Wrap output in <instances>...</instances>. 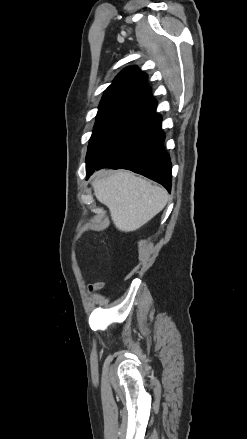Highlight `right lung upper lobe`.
<instances>
[{
  "instance_id": "1",
  "label": "right lung upper lobe",
  "mask_w": 247,
  "mask_h": 439,
  "mask_svg": "<svg viewBox=\"0 0 247 439\" xmlns=\"http://www.w3.org/2000/svg\"><path fill=\"white\" fill-rule=\"evenodd\" d=\"M147 78L136 66L124 69L105 90L100 106L120 104L155 114L157 101L152 97Z\"/></svg>"
}]
</instances>
